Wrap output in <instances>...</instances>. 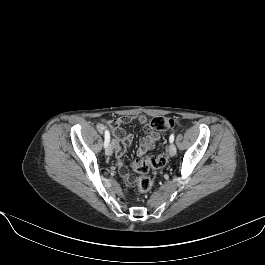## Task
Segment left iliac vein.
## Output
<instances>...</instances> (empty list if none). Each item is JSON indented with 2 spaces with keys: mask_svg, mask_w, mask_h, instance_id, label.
<instances>
[{
  "mask_svg": "<svg viewBox=\"0 0 265 265\" xmlns=\"http://www.w3.org/2000/svg\"><path fill=\"white\" fill-rule=\"evenodd\" d=\"M169 154H170V156H175L176 155V147L172 143L169 145Z\"/></svg>",
  "mask_w": 265,
  "mask_h": 265,
  "instance_id": "obj_1",
  "label": "left iliac vein"
}]
</instances>
